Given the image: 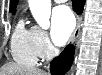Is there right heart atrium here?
Returning <instances> with one entry per match:
<instances>
[{
	"instance_id": "d8ad5b80",
	"label": "right heart atrium",
	"mask_w": 102,
	"mask_h": 75,
	"mask_svg": "<svg viewBox=\"0 0 102 75\" xmlns=\"http://www.w3.org/2000/svg\"><path fill=\"white\" fill-rule=\"evenodd\" d=\"M35 32L36 54L41 59H47L52 55V45L47 33L39 27H33Z\"/></svg>"
}]
</instances>
